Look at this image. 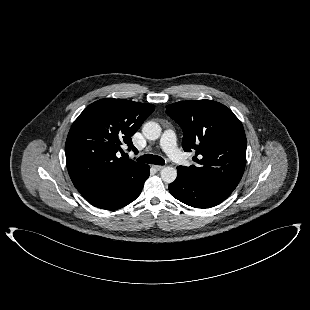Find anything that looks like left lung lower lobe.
<instances>
[{"label":"left lung lower lobe","mask_w":310,"mask_h":310,"mask_svg":"<svg viewBox=\"0 0 310 310\" xmlns=\"http://www.w3.org/2000/svg\"><path fill=\"white\" fill-rule=\"evenodd\" d=\"M177 171V178L169 184V191L173 197L189 206L210 208L220 204L232 193V190L225 187Z\"/></svg>","instance_id":"0a47b994"}]
</instances>
